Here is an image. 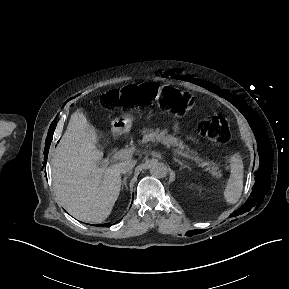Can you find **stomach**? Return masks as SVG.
Masks as SVG:
<instances>
[{"instance_id":"1","label":"stomach","mask_w":289,"mask_h":289,"mask_svg":"<svg viewBox=\"0 0 289 289\" xmlns=\"http://www.w3.org/2000/svg\"><path fill=\"white\" fill-rule=\"evenodd\" d=\"M132 126V120L129 116L118 118L113 123V130L117 133L128 132Z\"/></svg>"}]
</instances>
